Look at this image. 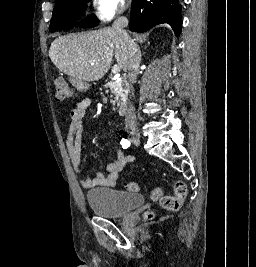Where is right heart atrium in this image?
<instances>
[{
	"label": "right heart atrium",
	"mask_w": 256,
	"mask_h": 267,
	"mask_svg": "<svg viewBox=\"0 0 256 267\" xmlns=\"http://www.w3.org/2000/svg\"><path fill=\"white\" fill-rule=\"evenodd\" d=\"M116 13L117 12H115V13H113V14H111V15H106V14H104V13H102V14H98L97 16V20H98V22H110L111 20H113L114 18H115V16H116Z\"/></svg>",
	"instance_id": "1"
}]
</instances>
